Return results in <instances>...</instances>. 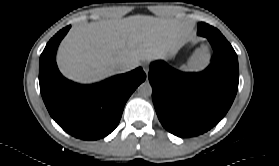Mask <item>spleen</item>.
<instances>
[{
    "mask_svg": "<svg viewBox=\"0 0 279 166\" xmlns=\"http://www.w3.org/2000/svg\"><path fill=\"white\" fill-rule=\"evenodd\" d=\"M210 63V53L207 46H201V48L195 51L192 60L189 63L188 69L190 71H201L205 69Z\"/></svg>",
    "mask_w": 279,
    "mask_h": 166,
    "instance_id": "3e777b00",
    "label": "spleen"
}]
</instances>
